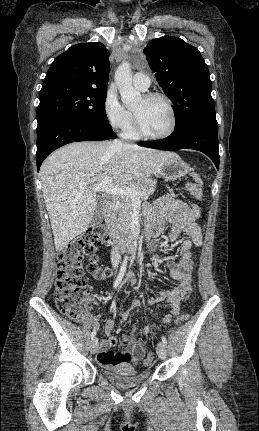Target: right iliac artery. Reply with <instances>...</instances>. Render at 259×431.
<instances>
[{
    "instance_id": "82829eb1",
    "label": "right iliac artery",
    "mask_w": 259,
    "mask_h": 431,
    "mask_svg": "<svg viewBox=\"0 0 259 431\" xmlns=\"http://www.w3.org/2000/svg\"><path fill=\"white\" fill-rule=\"evenodd\" d=\"M126 268H127V256L124 258L119 274L114 282L113 288H117L120 282L122 281ZM95 335H96V330H93L91 333V339H94Z\"/></svg>"
}]
</instances>
